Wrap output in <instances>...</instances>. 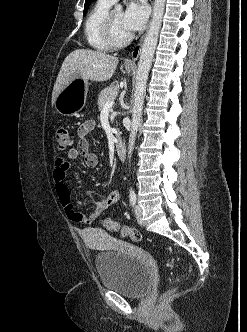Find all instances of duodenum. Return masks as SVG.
Returning <instances> with one entry per match:
<instances>
[{
	"instance_id": "410a0bca",
	"label": "duodenum",
	"mask_w": 247,
	"mask_h": 332,
	"mask_svg": "<svg viewBox=\"0 0 247 332\" xmlns=\"http://www.w3.org/2000/svg\"><path fill=\"white\" fill-rule=\"evenodd\" d=\"M116 152H117V156L120 160H124L126 158V145L123 142H120L117 144L116 146Z\"/></svg>"
}]
</instances>
